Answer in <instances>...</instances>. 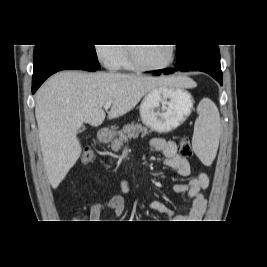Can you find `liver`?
Listing matches in <instances>:
<instances>
[{"label": "liver", "mask_w": 267, "mask_h": 267, "mask_svg": "<svg viewBox=\"0 0 267 267\" xmlns=\"http://www.w3.org/2000/svg\"><path fill=\"white\" fill-rule=\"evenodd\" d=\"M194 88L183 76L152 77L112 72L62 71L50 77L36 94L35 115L45 171L53 189L81 155L77 131L83 123L97 127L105 119L131 111L149 91L159 87Z\"/></svg>", "instance_id": "1"}]
</instances>
